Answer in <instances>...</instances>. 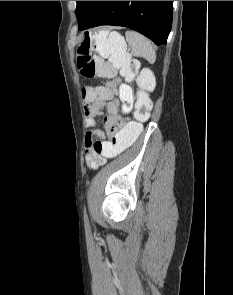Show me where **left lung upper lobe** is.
<instances>
[{
    "label": "left lung upper lobe",
    "mask_w": 233,
    "mask_h": 295,
    "mask_svg": "<svg viewBox=\"0 0 233 295\" xmlns=\"http://www.w3.org/2000/svg\"><path fill=\"white\" fill-rule=\"evenodd\" d=\"M99 1H76V16L78 19L79 30L86 24L95 10Z\"/></svg>",
    "instance_id": "1"
}]
</instances>
